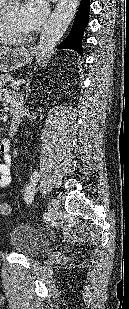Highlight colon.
Returning a JSON list of instances; mask_svg holds the SVG:
<instances>
[{
	"label": "colon",
	"instance_id": "1",
	"mask_svg": "<svg viewBox=\"0 0 129 309\" xmlns=\"http://www.w3.org/2000/svg\"><path fill=\"white\" fill-rule=\"evenodd\" d=\"M0 210H1L2 212H7V211H8V206L5 205V204H2V205H0Z\"/></svg>",
	"mask_w": 129,
	"mask_h": 309
}]
</instances>
